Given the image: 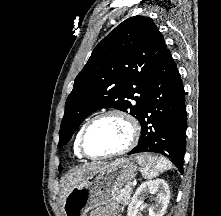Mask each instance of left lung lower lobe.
Returning <instances> with one entry per match:
<instances>
[{"label":"left lung lower lobe","mask_w":221,"mask_h":216,"mask_svg":"<svg viewBox=\"0 0 221 216\" xmlns=\"http://www.w3.org/2000/svg\"><path fill=\"white\" fill-rule=\"evenodd\" d=\"M139 123L140 140L128 154L160 153L174 162L182 172L187 127L185 92L168 49L151 76Z\"/></svg>","instance_id":"1"}]
</instances>
